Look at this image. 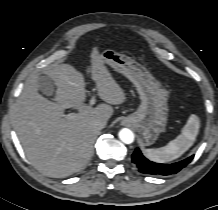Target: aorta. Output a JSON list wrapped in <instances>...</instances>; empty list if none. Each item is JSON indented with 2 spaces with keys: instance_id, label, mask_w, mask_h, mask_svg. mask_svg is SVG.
Masks as SVG:
<instances>
[{
  "instance_id": "1",
  "label": "aorta",
  "mask_w": 218,
  "mask_h": 210,
  "mask_svg": "<svg viewBox=\"0 0 218 210\" xmlns=\"http://www.w3.org/2000/svg\"><path fill=\"white\" fill-rule=\"evenodd\" d=\"M119 138L125 144H131L134 141V134L130 129L123 128L119 132Z\"/></svg>"
}]
</instances>
